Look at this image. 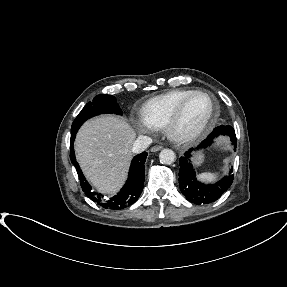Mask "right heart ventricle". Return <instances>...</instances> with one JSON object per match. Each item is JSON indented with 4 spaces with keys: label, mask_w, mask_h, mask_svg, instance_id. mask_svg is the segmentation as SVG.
Wrapping results in <instances>:
<instances>
[{
    "label": "right heart ventricle",
    "mask_w": 287,
    "mask_h": 287,
    "mask_svg": "<svg viewBox=\"0 0 287 287\" xmlns=\"http://www.w3.org/2000/svg\"><path fill=\"white\" fill-rule=\"evenodd\" d=\"M193 91L177 89L155 96L142 105L140 115L154 127H163L180 102Z\"/></svg>",
    "instance_id": "e07e8e85"
}]
</instances>
